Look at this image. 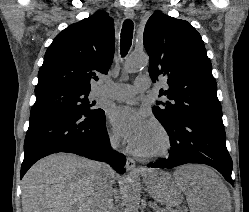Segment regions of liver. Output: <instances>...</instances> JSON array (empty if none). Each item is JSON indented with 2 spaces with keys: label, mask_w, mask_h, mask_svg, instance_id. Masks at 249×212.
Segmentation results:
<instances>
[{
  "label": "liver",
  "mask_w": 249,
  "mask_h": 212,
  "mask_svg": "<svg viewBox=\"0 0 249 212\" xmlns=\"http://www.w3.org/2000/svg\"><path fill=\"white\" fill-rule=\"evenodd\" d=\"M99 166L74 154H52L36 162L22 180L23 212H94ZM146 192L163 206H179L183 194L190 212H231L228 188L207 166H180L173 176L155 168L141 172ZM114 180L115 172H110Z\"/></svg>",
  "instance_id": "6515ba94"
}]
</instances>
